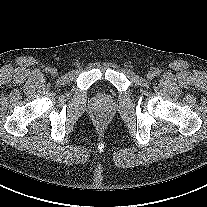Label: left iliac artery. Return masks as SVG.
<instances>
[{"label":"left iliac artery","mask_w":207,"mask_h":207,"mask_svg":"<svg viewBox=\"0 0 207 207\" xmlns=\"http://www.w3.org/2000/svg\"><path fill=\"white\" fill-rule=\"evenodd\" d=\"M155 74L159 75L160 74V70L159 69L155 70Z\"/></svg>","instance_id":"1"}]
</instances>
